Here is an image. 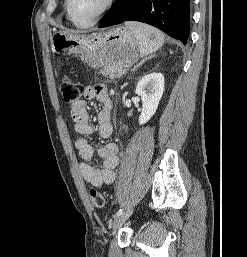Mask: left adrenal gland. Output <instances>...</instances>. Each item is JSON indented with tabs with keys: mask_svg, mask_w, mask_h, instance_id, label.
<instances>
[{
	"mask_svg": "<svg viewBox=\"0 0 247 257\" xmlns=\"http://www.w3.org/2000/svg\"><path fill=\"white\" fill-rule=\"evenodd\" d=\"M147 59H148V58L143 59L138 65H136V66L134 67V69H136V67H138L139 65H142Z\"/></svg>",
	"mask_w": 247,
	"mask_h": 257,
	"instance_id": "obj_1",
	"label": "left adrenal gland"
}]
</instances>
